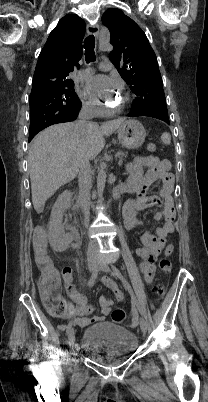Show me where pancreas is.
I'll list each match as a JSON object with an SVG mask.
<instances>
[{
	"mask_svg": "<svg viewBox=\"0 0 208 402\" xmlns=\"http://www.w3.org/2000/svg\"><path fill=\"white\" fill-rule=\"evenodd\" d=\"M117 156H119V158H123V156H126L125 152H117Z\"/></svg>",
	"mask_w": 208,
	"mask_h": 402,
	"instance_id": "obj_1",
	"label": "pancreas"
}]
</instances>
